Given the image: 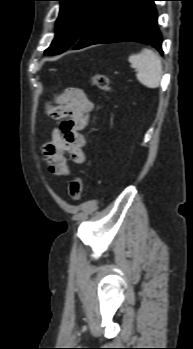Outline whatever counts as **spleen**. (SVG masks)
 Returning <instances> with one entry per match:
<instances>
[{
  "label": "spleen",
  "instance_id": "spleen-1",
  "mask_svg": "<svg viewBox=\"0 0 193 349\" xmlns=\"http://www.w3.org/2000/svg\"><path fill=\"white\" fill-rule=\"evenodd\" d=\"M128 60L137 69L136 77L141 84L148 88L160 86L163 67L158 54L151 49H143L138 54L130 55Z\"/></svg>",
  "mask_w": 193,
  "mask_h": 349
}]
</instances>
